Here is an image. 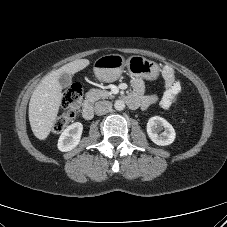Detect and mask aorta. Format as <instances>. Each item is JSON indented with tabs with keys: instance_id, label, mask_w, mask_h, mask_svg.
<instances>
[{
	"instance_id": "762f6f07",
	"label": "aorta",
	"mask_w": 227,
	"mask_h": 227,
	"mask_svg": "<svg viewBox=\"0 0 227 227\" xmlns=\"http://www.w3.org/2000/svg\"><path fill=\"white\" fill-rule=\"evenodd\" d=\"M114 108L118 111H122L125 108V103L123 100H116L114 103Z\"/></svg>"
}]
</instances>
